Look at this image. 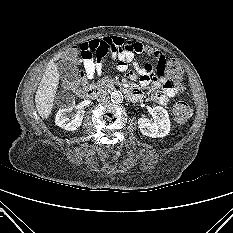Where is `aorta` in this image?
<instances>
[{
  "mask_svg": "<svg viewBox=\"0 0 233 233\" xmlns=\"http://www.w3.org/2000/svg\"><path fill=\"white\" fill-rule=\"evenodd\" d=\"M123 99L124 97H123L122 92L115 90L111 93V101L113 103L120 104L123 102Z\"/></svg>",
  "mask_w": 233,
  "mask_h": 233,
  "instance_id": "obj_1",
  "label": "aorta"
}]
</instances>
